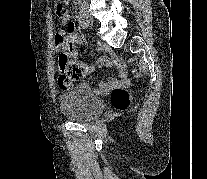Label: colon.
I'll return each mask as SVG.
<instances>
[{
    "mask_svg": "<svg viewBox=\"0 0 207 179\" xmlns=\"http://www.w3.org/2000/svg\"><path fill=\"white\" fill-rule=\"evenodd\" d=\"M68 0L55 1V13L62 18L68 13ZM59 47L57 56V70L59 79L62 83L70 84L72 81L80 79L85 68L80 64H75L70 61L68 54L63 49V40H56ZM132 96L129 91L123 87L114 88L110 94L111 105L119 111L126 110L131 103Z\"/></svg>",
    "mask_w": 207,
    "mask_h": 179,
    "instance_id": "5ec220e1",
    "label": "colon"
}]
</instances>
